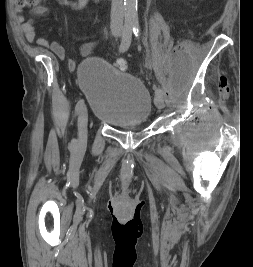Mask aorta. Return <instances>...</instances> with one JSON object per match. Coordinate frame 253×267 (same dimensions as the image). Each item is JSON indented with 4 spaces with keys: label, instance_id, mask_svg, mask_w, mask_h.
I'll list each match as a JSON object with an SVG mask.
<instances>
[{
    "label": "aorta",
    "instance_id": "762f6f07",
    "mask_svg": "<svg viewBox=\"0 0 253 267\" xmlns=\"http://www.w3.org/2000/svg\"><path fill=\"white\" fill-rule=\"evenodd\" d=\"M125 26L139 28L137 0H124Z\"/></svg>",
    "mask_w": 253,
    "mask_h": 267
}]
</instances>
